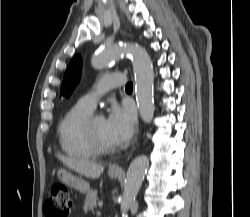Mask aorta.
Segmentation results:
<instances>
[{
    "label": "aorta",
    "mask_w": 250,
    "mask_h": 217,
    "mask_svg": "<svg viewBox=\"0 0 250 217\" xmlns=\"http://www.w3.org/2000/svg\"><path fill=\"white\" fill-rule=\"evenodd\" d=\"M124 55H128L132 60L136 101L141 118L145 123H150L154 115V72L152 61L146 50L137 44L106 45L92 57L91 63L94 68L102 69L111 61L118 60ZM148 165L149 160L145 155L136 157L130 164L120 203L122 217H128L127 212L140 190Z\"/></svg>",
    "instance_id": "obj_1"
}]
</instances>
